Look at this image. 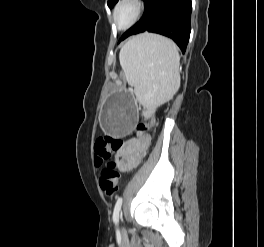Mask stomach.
<instances>
[{"instance_id":"stomach-1","label":"stomach","mask_w":264,"mask_h":247,"mask_svg":"<svg viewBox=\"0 0 264 247\" xmlns=\"http://www.w3.org/2000/svg\"><path fill=\"white\" fill-rule=\"evenodd\" d=\"M137 113L139 108L133 95L117 92L103 106L102 124L111 136H129V131H134L138 123Z\"/></svg>"}]
</instances>
